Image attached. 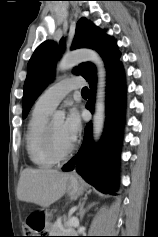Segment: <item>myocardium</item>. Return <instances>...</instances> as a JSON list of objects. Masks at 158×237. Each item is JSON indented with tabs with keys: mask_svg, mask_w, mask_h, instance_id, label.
Wrapping results in <instances>:
<instances>
[{
	"mask_svg": "<svg viewBox=\"0 0 158 237\" xmlns=\"http://www.w3.org/2000/svg\"><path fill=\"white\" fill-rule=\"evenodd\" d=\"M43 146L46 154L54 161V162H60L63 160H66L69 158L73 151H74V145L72 144L71 147L64 153H59L54 147V143L52 140V133H51V122H48L45 126L44 132H43Z\"/></svg>",
	"mask_w": 158,
	"mask_h": 237,
	"instance_id": "f54148a6",
	"label": "myocardium"
}]
</instances>
